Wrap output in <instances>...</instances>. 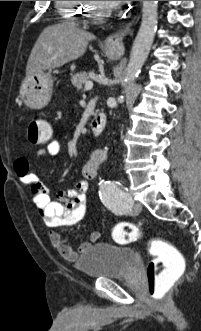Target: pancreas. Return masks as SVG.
<instances>
[{"label": "pancreas", "mask_w": 201, "mask_h": 331, "mask_svg": "<svg viewBox=\"0 0 201 331\" xmlns=\"http://www.w3.org/2000/svg\"><path fill=\"white\" fill-rule=\"evenodd\" d=\"M88 80V74L85 72L77 73L71 78L72 84L78 89H81L83 84H85Z\"/></svg>", "instance_id": "obj_1"}]
</instances>
